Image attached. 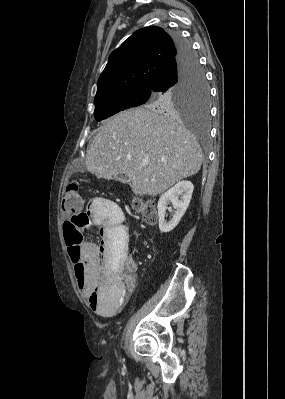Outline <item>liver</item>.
I'll return each mask as SVG.
<instances>
[{
  "label": "liver",
  "instance_id": "6515ba94",
  "mask_svg": "<svg viewBox=\"0 0 285 399\" xmlns=\"http://www.w3.org/2000/svg\"><path fill=\"white\" fill-rule=\"evenodd\" d=\"M202 159L195 136L173 114L136 108L106 120L87 150L85 164L104 179L123 173L134 194L155 196L196 174Z\"/></svg>",
  "mask_w": 285,
  "mask_h": 399
}]
</instances>
